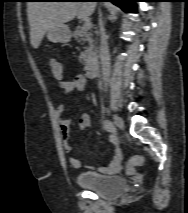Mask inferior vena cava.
Here are the masks:
<instances>
[{
    "instance_id": "1",
    "label": "inferior vena cava",
    "mask_w": 188,
    "mask_h": 213,
    "mask_svg": "<svg viewBox=\"0 0 188 213\" xmlns=\"http://www.w3.org/2000/svg\"><path fill=\"white\" fill-rule=\"evenodd\" d=\"M100 26V51L99 58L101 64V73L102 78L105 82H107L109 73H110V56H109V48L107 43V36L105 33V29L101 19H99Z\"/></svg>"
}]
</instances>
